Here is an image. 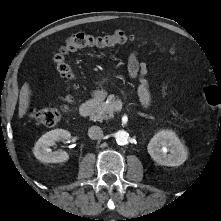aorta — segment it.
<instances>
[{
  "label": "aorta",
  "instance_id": "762f6f07",
  "mask_svg": "<svg viewBox=\"0 0 221 221\" xmlns=\"http://www.w3.org/2000/svg\"><path fill=\"white\" fill-rule=\"evenodd\" d=\"M116 142L120 145L128 143L129 134L126 131L120 130L115 134Z\"/></svg>",
  "mask_w": 221,
  "mask_h": 221
}]
</instances>
